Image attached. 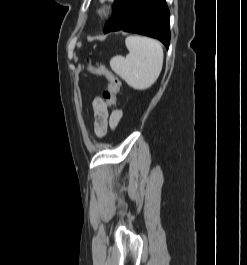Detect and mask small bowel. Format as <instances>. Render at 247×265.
<instances>
[{
  "instance_id": "1",
  "label": "small bowel",
  "mask_w": 247,
  "mask_h": 265,
  "mask_svg": "<svg viewBox=\"0 0 247 265\" xmlns=\"http://www.w3.org/2000/svg\"><path fill=\"white\" fill-rule=\"evenodd\" d=\"M94 111V132L97 137H103L108 128L115 129L123 117L121 110H114L110 114L107 104L101 97H95L92 102Z\"/></svg>"
}]
</instances>
